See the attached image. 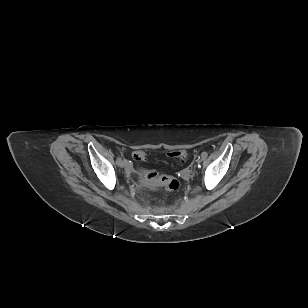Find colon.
I'll return each mask as SVG.
<instances>
[{"mask_svg": "<svg viewBox=\"0 0 308 308\" xmlns=\"http://www.w3.org/2000/svg\"><path fill=\"white\" fill-rule=\"evenodd\" d=\"M170 157H176L180 159H185L188 156L187 151L179 150L171 152ZM133 158L136 161L143 160L145 158V153L143 151H136L133 153ZM140 174L148 181L165 188L167 191L174 192L179 188V182L172 176L158 173L152 170H141Z\"/></svg>", "mask_w": 308, "mask_h": 308, "instance_id": "obj_1", "label": "colon"}]
</instances>
